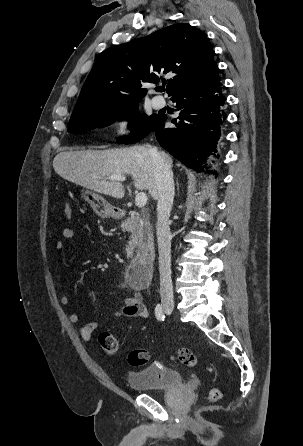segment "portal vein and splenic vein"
Masks as SVG:
<instances>
[{
    "mask_svg": "<svg viewBox=\"0 0 303 446\" xmlns=\"http://www.w3.org/2000/svg\"><path fill=\"white\" fill-rule=\"evenodd\" d=\"M112 181H125L126 177L123 175H111L108 177ZM147 203V195L144 192H140L136 195L135 204L138 208H143Z\"/></svg>",
    "mask_w": 303,
    "mask_h": 446,
    "instance_id": "18ae733b",
    "label": "portal vein and splenic vein"
}]
</instances>
